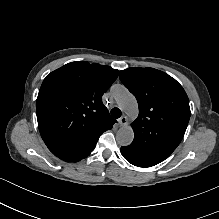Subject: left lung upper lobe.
I'll return each mask as SVG.
<instances>
[{
    "label": "left lung upper lobe",
    "instance_id": "obj_1",
    "mask_svg": "<svg viewBox=\"0 0 219 219\" xmlns=\"http://www.w3.org/2000/svg\"><path fill=\"white\" fill-rule=\"evenodd\" d=\"M119 76L139 105L129 147L160 163L183 139L190 119L188 96L174 78L154 68H128Z\"/></svg>",
    "mask_w": 219,
    "mask_h": 219
}]
</instances>
